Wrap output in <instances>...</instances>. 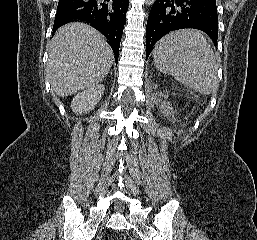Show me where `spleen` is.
Here are the masks:
<instances>
[{"label":"spleen","mask_w":257,"mask_h":240,"mask_svg":"<svg viewBox=\"0 0 257 240\" xmlns=\"http://www.w3.org/2000/svg\"><path fill=\"white\" fill-rule=\"evenodd\" d=\"M152 54L156 68L183 85L204 95L218 90L216 57L199 31L171 32L158 41Z\"/></svg>","instance_id":"spleen-1"}]
</instances>
